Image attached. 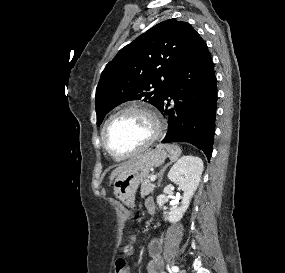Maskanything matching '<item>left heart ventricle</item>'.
Here are the masks:
<instances>
[{
    "mask_svg": "<svg viewBox=\"0 0 285 273\" xmlns=\"http://www.w3.org/2000/svg\"><path fill=\"white\" fill-rule=\"evenodd\" d=\"M153 133L150 119L138 112H127L118 116L109 126L107 141L119 153L135 150Z\"/></svg>",
    "mask_w": 285,
    "mask_h": 273,
    "instance_id": "obj_1",
    "label": "left heart ventricle"
}]
</instances>
